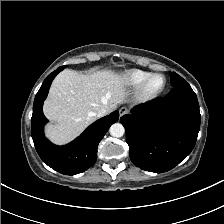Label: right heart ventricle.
Wrapping results in <instances>:
<instances>
[{"label":"right heart ventricle","instance_id":"e07e8e85","mask_svg":"<svg viewBox=\"0 0 224 224\" xmlns=\"http://www.w3.org/2000/svg\"><path fill=\"white\" fill-rule=\"evenodd\" d=\"M149 74L144 70L130 69L122 74L121 79L126 85L137 87Z\"/></svg>","mask_w":224,"mask_h":224}]
</instances>
